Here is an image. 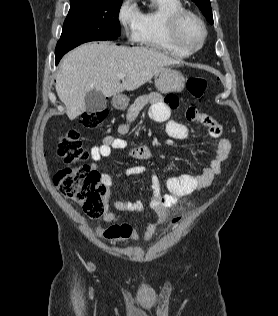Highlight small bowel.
I'll list each match as a JSON object with an SVG mask.
<instances>
[{"label": "small bowel", "mask_w": 278, "mask_h": 316, "mask_svg": "<svg viewBox=\"0 0 278 316\" xmlns=\"http://www.w3.org/2000/svg\"><path fill=\"white\" fill-rule=\"evenodd\" d=\"M178 104L179 101L174 95H169L166 99L158 93L140 96L128 109L126 121L119 125L118 133L120 135L128 134L132 123L140 112L145 107H149V117L153 121L166 122V131L169 136L178 140H185L189 137L188 127L170 119L171 110L177 108ZM186 118L191 122L207 127L209 135L216 139L215 156L200 175L183 174L169 178L167 180L168 193L166 194L161 191V183L158 177L151 176L150 208L155 212L156 219L146 226L143 233L145 240H150L157 227L166 220L168 208L175 206L182 197L209 187L214 178L220 174L222 164L229 156L231 143L227 138L222 137L223 128L220 123L210 115L198 111L194 106L187 108ZM125 149H128L129 156L136 160H149L153 155L151 149L145 145L129 147L125 139L107 135L101 145H94L90 148L89 154L92 159L90 168L97 172L98 162L109 157L113 150ZM146 171V167L134 165L125 171V176H139ZM100 177L102 184L107 188V193H110L113 190L112 176L108 173H102ZM109 201L110 199L107 197L103 220L110 225L108 227L96 225V234L111 243H127L138 240L140 233L137 225L127 221L121 222L118 214L108 210ZM111 203L116 210L129 214L142 213L145 209L144 203L140 200L131 202L117 199L111 200Z\"/></svg>", "instance_id": "small-bowel-1"}]
</instances>
